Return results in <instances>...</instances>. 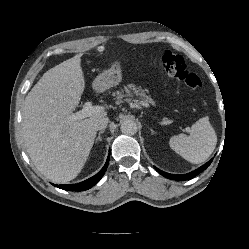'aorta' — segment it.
<instances>
[{"mask_svg": "<svg viewBox=\"0 0 249 249\" xmlns=\"http://www.w3.org/2000/svg\"><path fill=\"white\" fill-rule=\"evenodd\" d=\"M121 131L125 135H134L137 133V124L131 119H126L121 123Z\"/></svg>", "mask_w": 249, "mask_h": 249, "instance_id": "1", "label": "aorta"}]
</instances>
